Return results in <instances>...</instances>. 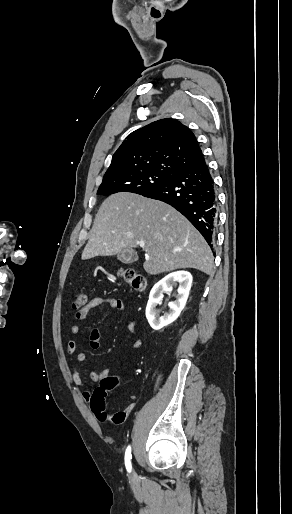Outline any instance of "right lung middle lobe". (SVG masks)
<instances>
[{"mask_svg":"<svg viewBox=\"0 0 292 514\" xmlns=\"http://www.w3.org/2000/svg\"><path fill=\"white\" fill-rule=\"evenodd\" d=\"M172 175L167 172H144L104 178L97 194L107 196L117 192H132L143 195L163 184Z\"/></svg>","mask_w":292,"mask_h":514,"instance_id":"1","label":"right lung middle lobe"}]
</instances>
